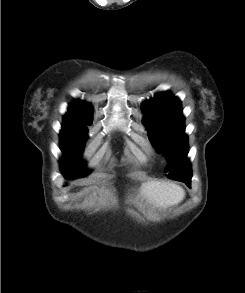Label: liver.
I'll list each match as a JSON object with an SVG mask.
<instances>
[{
    "label": "liver",
    "instance_id": "obj_1",
    "mask_svg": "<svg viewBox=\"0 0 245 293\" xmlns=\"http://www.w3.org/2000/svg\"><path fill=\"white\" fill-rule=\"evenodd\" d=\"M141 194L154 206L164 208L178 204L185 197V192L180 186L164 181L144 183Z\"/></svg>",
    "mask_w": 245,
    "mask_h": 293
}]
</instances>
